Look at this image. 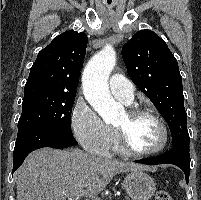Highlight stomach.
Returning a JSON list of instances; mask_svg holds the SVG:
<instances>
[{
	"label": "stomach",
	"mask_w": 201,
	"mask_h": 200,
	"mask_svg": "<svg viewBox=\"0 0 201 200\" xmlns=\"http://www.w3.org/2000/svg\"><path fill=\"white\" fill-rule=\"evenodd\" d=\"M124 189L132 200H149L155 192V183L142 171H130L123 181Z\"/></svg>",
	"instance_id": "obj_1"
}]
</instances>
